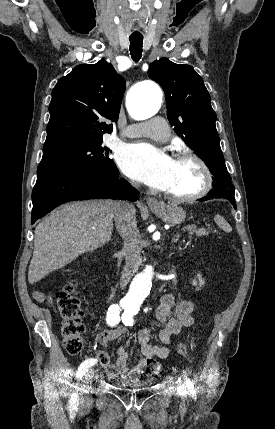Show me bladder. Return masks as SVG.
Wrapping results in <instances>:
<instances>
[{
    "instance_id": "bladder-1",
    "label": "bladder",
    "mask_w": 275,
    "mask_h": 429,
    "mask_svg": "<svg viewBox=\"0 0 275 429\" xmlns=\"http://www.w3.org/2000/svg\"><path fill=\"white\" fill-rule=\"evenodd\" d=\"M117 385L118 386H123V387L130 386V384H128V383H117ZM143 385H144L143 383H136L133 386H143Z\"/></svg>"
}]
</instances>
